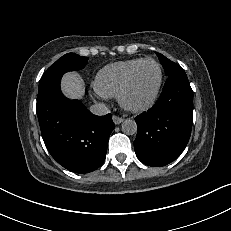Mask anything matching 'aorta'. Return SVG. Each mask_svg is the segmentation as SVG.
I'll use <instances>...</instances> for the list:
<instances>
[{
    "instance_id": "aorta-1",
    "label": "aorta",
    "mask_w": 231,
    "mask_h": 231,
    "mask_svg": "<svg viewBox=\"0 0 231 231\" xmlns=\"http://www.w3.org/2000/svg\"><path fill=\"white\" fill-rule=\"evenodd\" d=\"M122 132L127 135H134L137 132V124L134 120L126 119L122 123Z\"/></svg>"
}]
</instances>
